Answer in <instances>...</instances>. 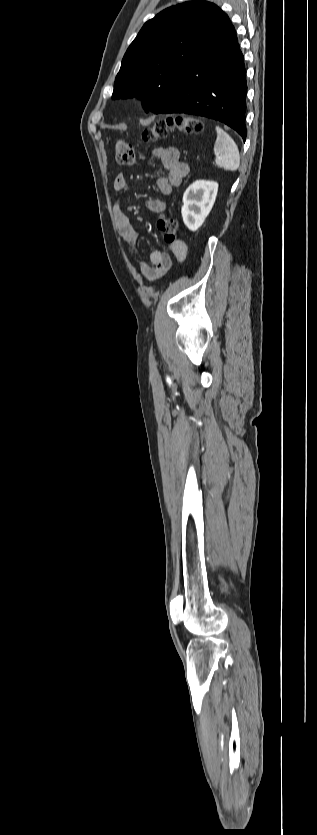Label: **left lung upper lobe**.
<instances>
[{
    "label": "left lung upper lobe",
    "instance_id": "5c2ea615",
    "mask_svg": "<svg viewBox=\"0 0 317 835\" xmlns=\"http://www.w3.org/2000/svg\"><path fill=\"white\" fill-rule=\"evenodd\" d=\"M224 16L213 3L191 1L147 21L123 57L112 98L140 96L153 112L173 102L186 68Z\"/></svg>",
    "mask_w": 317,
    "mask_h": 835
}]
</instances>
